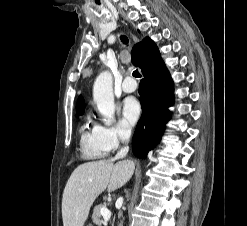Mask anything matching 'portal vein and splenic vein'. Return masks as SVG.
Wrapping results in <instances>:
<instances>
[{"mask_svg": "<svg viewBox=\"0 0 247 226\" xmlns=\"http://www.w3.org/2000/svg\"><path fill=\"white\" fill-rule=\"evenodd\" d=\"M101 215L103 216L105 220H108L111 217V212L107 208H102Z\"/></svg>", "mask_w": 247, "mask_h": 226, "instance_id": "portal-vein-and-splenic-vein-1", "label": "portal vein and splenic vein"}]
</instances>
